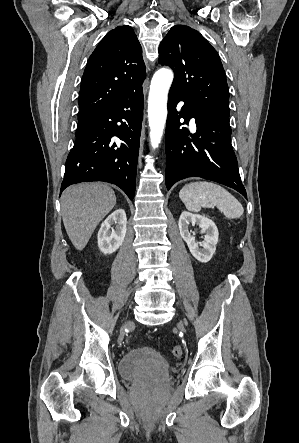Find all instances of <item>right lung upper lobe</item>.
Segmentation results:
<instances>
[{"instance_id":"right-lung-upper-lobe-1","label":"right lung upper lobe","mask_w":299,"mask_h":443,"mask_svg":"<svg viewBox=\"0 0 299 443\" xmlns=\"http://www.w3.org/2000/svg\"><path fill=\"white\" fill-rule=\"evenodd\" d=\"M146 78L142 48L133 29L118 26L90 56L79 93L78 123L142 87Z\"/></svg>"}]
</instances>
